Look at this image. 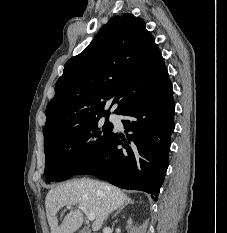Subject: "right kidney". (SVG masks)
Returning <instances> with one entry per match:
<instances>
[{
	"instance_id": "right-kidney-1",
	"label": "right kidney",
	"mask_w": 227,
	"mask_h": 233,
	"mask_svg": "<svg viewBox=\"0 0 227 233\" xmlns=\"http://www.w3.org/2000/svg\"><path fill=\"white\" fill-rule=\"evenodd\" d=\"M132 224V220L131 219H129L128 220V226H127V228H130V225Z\"/></svg>"
}]
</instances>
